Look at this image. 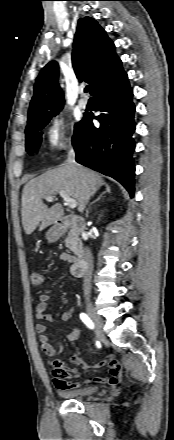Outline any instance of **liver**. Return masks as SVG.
I'll return each mask as SVG.
<instances>
[{
	"instance_id": "1",
	"label": "liver",
	"mask_w": 174,
	"mask_h": 440,
	"mask_svg": "<svg viewBox=\"0 0 174 440\" xmlns=\"http://www.w3.org/2000/svg\"><path fill=\"white\" fill-rule=\"evenodd\" d=\"M104 184L98 173L68 162L31 179L22 193L21 215L25 233L30 235L37 226L43 230L62 217V205L56 203L49 208L43 203L45 196L64 191L76 200L78 211L82 212L90 197Z\"/></svg>"
}]
</instances>
